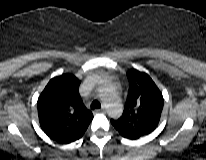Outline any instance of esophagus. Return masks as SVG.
I'll use <instances>...</instances> for the list:
<instances>
[{
	"mask_svg": "<svg viewBox=\"0 0 206 160\" xmlns=\"http://www.w3.org/2000/svg\"><path fill=\"white\" fill-rule=\"evenodd\" d=\"M97 112L104 113L105 112V108L102 106L100 109L97 110Z\"/></svg>",
	"mask_w": 206,
	"mask_h": 160,
	"instance_id": "34e87169",
	"label": "esophagus"
}]
</instances>
